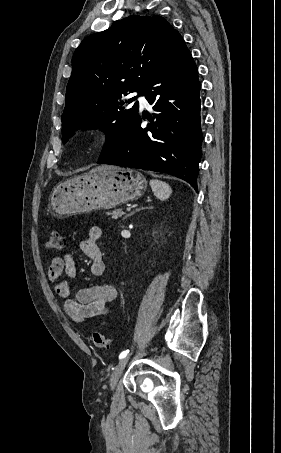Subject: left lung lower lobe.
Here are the masks:
<instances>
[{"label": "left lung lower lobe", "mask_w": 281, "mask_h": 453, "mask_svg": "<svg viewBox=\"0 0 281 453\" xmlns=\"http://www.w3.org/2000/svg\"><path fill=\"white\" fill-rule=\"evenodd\" d=\"M144 95L150 104L155 103L153 109L159 113L154 118L147 116L151 124L145 129L138 115L97 163L168 173L197 191L203 141L200 83L195 62L180 35L175 36Z\"/></svg>", "instance_id": "1"}]
</instances>
